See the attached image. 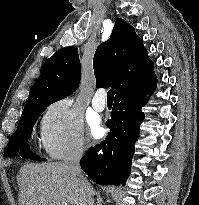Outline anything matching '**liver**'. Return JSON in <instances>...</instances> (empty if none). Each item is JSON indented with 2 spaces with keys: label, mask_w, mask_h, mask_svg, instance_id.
Masks as SVG:
<instances>
[{
  "label": "liver",
  "mask_w": 199,
  "mask_h": 205,
  "mask_svg": "<svg viewBox=\"0 0 199 205\" xmlns=\"http://www.w3.org/2000/svg\"><path fill=\"white\" fill-rule=\"evenodd\" d=\"M17 183L20 205H94L92 196L64 162L25 164L19 170ZM86 184L93 193L87 180Z\"/></svg>",
  "instance_id": "obj_1"
}]
</instances>
